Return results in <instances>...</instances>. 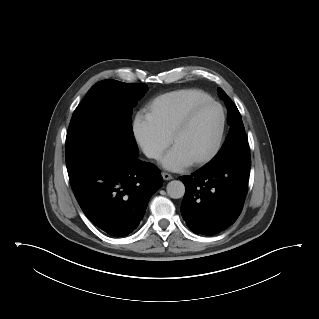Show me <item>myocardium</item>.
<instances>
[{"label": "myocardium", "instance_id": "obj_1", "mask_svg": "<svg viewBox=\"0 0 319 319\" xmlns=\"http://www.w3.org/2000/svg\"><path fill=\"white\" fill-rule=\"evenodd\" d=\"M209 105H213V106L218 107V109L220 111L221 120H220V128H219V133H218V137H217V142H216L214 149L212 150V152L210 154H208L207 156H205L203 158H200L198 160L191 162L190 165H192V166H202V165L208 164L219 155V153L222 149V146H223L225 129H226V112H225L223 105L220 102L216 101L215 99L211 98L209 100L200 102V103L192 106L188 110V112L186 113L184 118L173 129V131L171 132V134L169 136V144H170V146H173L174 141L180 135H182L184 132H186L189 129L196 114L201 109H203L204 107L209 106Z\"/></svg>", "mask_w": 319, "mask_h": 319}]
</instances>
